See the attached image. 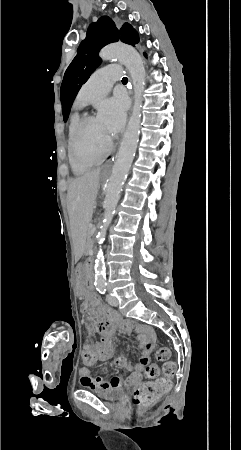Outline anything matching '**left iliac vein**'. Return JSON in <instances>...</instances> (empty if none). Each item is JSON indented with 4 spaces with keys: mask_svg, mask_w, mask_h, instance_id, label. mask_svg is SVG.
I'll use <instances>...</instances> for the list:
<instances>
[{
    "mask_svg": "<svg viewBox=\"0 0 241 450\" xmlns=\"http://www.w3.org/2000/svg\"><path fill=\"white\" fill-rule=\"evenodd\" d=\"M106 299H107V302L112 306H118V304H119L117 298L111 296L110 294L106 295Z\"/></svg>",
    "mask_w": 241,
    "mask_h": 450,
    "instance_id": "obj_1",
    "label": "left iliac vein"
}]
</instances>
